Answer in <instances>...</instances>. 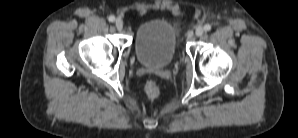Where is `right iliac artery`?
Listing matches in <instances>:
<instances>
[{
	"label": "right iliac artery",
	"instance_id": "1",
	"mask_svg": "<svg viewBox=\"0 0 298 138\" xmlns=\"http://www.w3.org/2000/svg\"><path fill=\"white\" fill-rule=\"evenodd\" d=\"M108 20H109L110 22H114V21H115V17H114L113 15H110V16L108 17Z\"/></svg>",
	"mask_w": 298,
	"mask_h": 138
}]
</instances>
